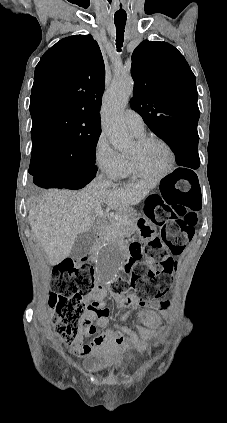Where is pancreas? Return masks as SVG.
<instances>
[{
    "mask_svg": "<svg viewBox=\"0 0 227 423\" xmlns=\"http://www.w3.org/2000/svg\"><path fill=\"white\" fill-rule=\"evenodd\" d=\"M119 215H123L127 221H119V219H111L108 223H100L103 237L101 241H108V239H123V237H130L134 231H137L136 219L129 217L126 210H116Z\"/></svg>",
    "mask_w": 227,
    "mask_h": 423,
    "instance_id": "pancreas-1",
    "label": "pancreas"
}]
</instances>
